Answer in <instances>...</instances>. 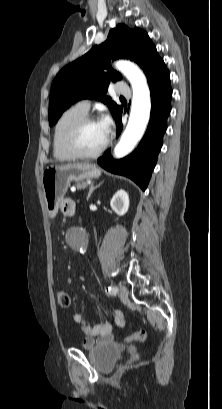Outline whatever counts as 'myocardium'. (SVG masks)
I'll use <instances>...</instances> for the list:
<instances>
[{
  "label": "myocardium",
  "mask_w": 222,
  "mask_h": 409,
  "mask_svg": "<svg viewBox=\"0 0 222 409\" xmlns=\"http://www.w3.org/2000/svg\"><path fill=\"white\" fill-rule=\"evenodd\" d=\"M98 122V119L94 116L86 115L77 121L67 134L66 146L68 151L75 157L80 159H95L103 154L109 145V139L107 138L103 146L93 153L83 152L78 145V138L81 131L90 123Z\"/></svg>",
  "instance_id": "obj_1"
}]
</instances>
